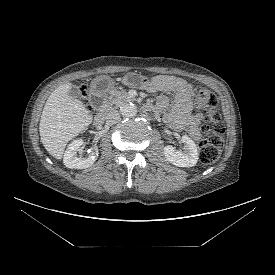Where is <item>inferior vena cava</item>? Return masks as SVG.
<instances>
[{
	"instance_id": "1",
	"label": "inferior vena cava",
	"mask_w": 275,
	"mask_h": 275,
	"mask_svg": "<svg viewBox=\"0 0 275 275\" xmlns=\"http://www.w3.org/2000/svg\"><path fill=\"white\" fill-rule=\"evenodd\" d=\"M120 119V113L117 110L110 111L106 116V122L109 125L116 124Z\"/></svg>"
}]
</instances>
